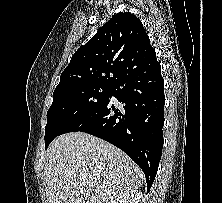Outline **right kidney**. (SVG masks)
Instances as JSON below:
<instances>
[{
    "instance_id": "right-kidney-1",
    "label": "right kidney",
    "mask_w": 222,
    "mask_h": 203,
    "mask_svg": "<svg viewBox=\"0 0 222 203\" xmlns=\"http://www.w3.org/2000/svg\"><path fill=\"white\" fill-rule=\"evenodd\" d=\"M141 201L142 193L134 189L119 196L113 203H141Z\"/></svg>"
}]
</instances>
